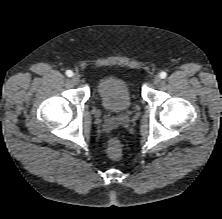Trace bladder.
I'll list each match as a JSON object with an SVG mask.
<instances>
[{
    "instance_id": "31cf9c89",
    "label": "bladder",
    "mask_w": 222,
    "mask_h": 219,
    "mask_svg": "<svg viewBox=\"0 0 222 219\" xmlns=\"http://www.w3.org/2000/svg\"><path fill=\"white\" fill-rule=\"evenodd\" d=\"M96 92L102 108L111 114L127 112L132 103L133 95L124 77L108 75L98 81Z\"/></svg>"
}]
</instances>
